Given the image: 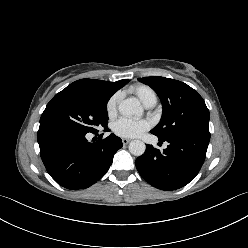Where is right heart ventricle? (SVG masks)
<instances>
[{"label":"right heart ventricle","instance_id":"e07e8e85","mask_svg":"<svg viewBox=\"0 0 248 248\" xmlns=\"http://www.w3.org/2000/svg\"><path fill=\"white\" fill-rule=\"evenodd\" d=\"M145 106H153L157 102L155 91L144 84H139L130 89Z\"/></svg>","mask_w":248,"mask_h":248}]
</instances>
